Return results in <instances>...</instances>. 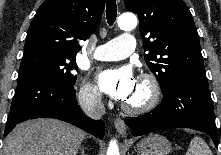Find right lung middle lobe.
<instances>
[{"label":"right lung middle lobe","instance_id":"1","mask_svg":"<svg viewBox=\"0 0 221 155\" xmlns=\"http://www.w3.org/2000/svg\"><path fill=\"white\" fill-rule=\"evenodd\" d=\"M77 68L75 58L50 53L29 54L22 58L18 79L30 73H37L50 77L64 86L74 87L76 81L74 71Z\"/></svg>","mask_w":221,"mask_h":155}]
</instances>
